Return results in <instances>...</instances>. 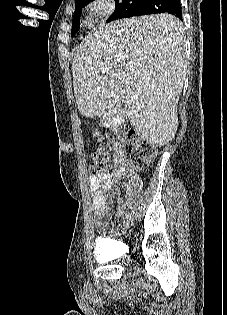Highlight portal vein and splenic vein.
<instances>
[{"mask_svg": "<svg viewBox=\"0 0 227 315\" xmlns=\"http://www.w3.org/2000/svg\"><path fill=\"white\" fill-rule=\"evenodd\" d=\"M106 71H107V69H104V68H103V72H106Z\"/></svg>", "mask_w": 227, "mask_h": 315, "instance_id": "1", "label": "portal vein and splenic vein"}]
</instances>
